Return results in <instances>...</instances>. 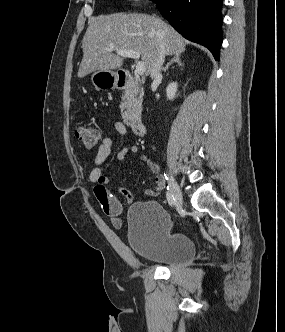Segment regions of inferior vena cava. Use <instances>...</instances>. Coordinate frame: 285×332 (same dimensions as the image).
I'll return each instance as SVG.
<instances>
[{"label": "inferior vena cava", "instance_id": "1", "mask_svg": "<svg viewBox=\"0 0 285 332\" xmlns=\"http://www.w3.org/2000/svg\"><path fill=\"white\" fill-rule=\"evenodd\" d=\"M164 60H165V47L164 44L161 43L157 58L155 59V62L151 70L150 76L152 79L159 80L162 78L161 68L164 63Z\"/></svg>", "mask_w": 285, "mask_h": 332}]
</instances>
